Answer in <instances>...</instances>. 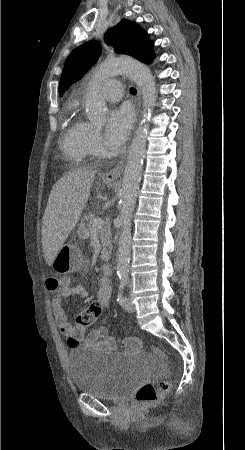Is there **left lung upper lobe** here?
<instances>
[{"instance_id":"obj_1","label":"left lung upper lobe","mask_w":245,"mask_h":450,"mask_svg":"<svg viewBox=\"0 0 245 450\" xmlns=\"http://www.w3.org/2000/svg\"><path fill=\"white\" fill-rule=\"evenodd\" d=\"M105 42L113 45L117 53L133 56L144 63H150L153 58L152 42L148 39L146 31L134 22L122 20L106 33ZM100 54L99 44L92 41L72 51L62 71L60 96L95 64Z\"/></svg>"}]
</instances>
